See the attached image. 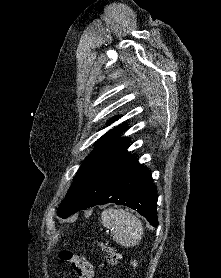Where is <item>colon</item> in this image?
<instances>
[{"label":"colon","instance_id":"obj_1","mask_svg":"<svg viewBox=\"0 0 221 278\" xmlns=\"http://www.w3.org/2000/svg\"><path fill=\"white\" fill-rule=\"evenodd\" d=\"M93 245L105 255L106 260L110 265L116 266L119 263L121 255L116 248L100 241L93 242ZM60 257L63 261L67 262L71 266L79 278H95L94 269L85 260V257L76 255L70 250L61 251Z\"/></svg>","mask_w":221,"mask_h":278}]
</instances>
